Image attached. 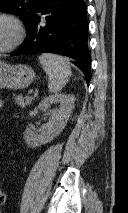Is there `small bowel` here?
Wrapping results in <instances>:
<instances>
[{
    "mask_svg": "<svg viewBox=\"0 0 128 213\" xmlns=\"http://www.w3.org/2000/svg\"><path fill=\"white\" fill-rule=\"evenodd\" d=\"M3 106V101L2 99L0 98V108Z\"/></svg>",
    "mask_w": 128,
    "mask_h": 213,
    "instance_id": "obj_1",
    "label": "small bowel"
}]
</instances>
